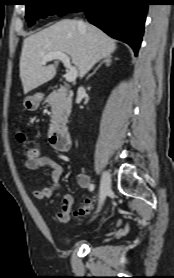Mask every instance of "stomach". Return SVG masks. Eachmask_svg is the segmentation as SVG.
<instances>
[{
  "mask_svg": "<svg viewBox=\"0 0 174 278\" xmlns=\"http://www.w3.org/2000/svg\"><path fill=\"white\" fill-rule=\"evenodd\" d=\"M40 104V97L39 95L28 96L24 101V106L29 110H35L38 108Z\"/></svg>",
  "mask_w": 174,
  "mask_h": 278,
  "instance_id": "stomach-1",
  "label": "stomach"
}]
</instances>
